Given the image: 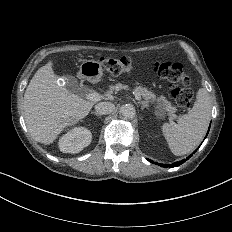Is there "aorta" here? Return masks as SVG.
I'll return each instance as SVG.
<instances>
[{
	"mask_svg": "<svg viewBox=\"0 0 232 232\" xmlns=\"http://www.w3.org/2000/svg\"><path fill=\"white\" fill-rule=\"evenodd\" d=\"M120 112L125 119H133L136 115L135 107L132 104L122 105Z\"/></svg>",
	"mask_w": 232,
	"mask_h": 232,
	"instance_id": "obj_1",
	"label": "aorta"
}]
</instances>
